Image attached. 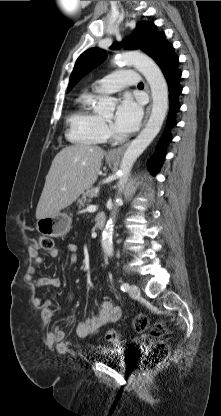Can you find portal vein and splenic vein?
Listing matches in <instances>:
<instances>
[{
  "label": "portal vein and splenic vein",
  "mask_w": 221,
  "mask_h": 416,
  "mask_svg": "<svg viewBox=\"0 0 221 416\" xmlns=\"http://www.w3.org/2000/svg\"><path fill=\"white\" fill-rule=\"evenodd\" d=\"M96 208H97V207H96L95 205H89V206L87 207V209H86V210H87L88 212H92V211H95V210H96Z\"/></svg>",
  "instance_id": "portal-vein-and-splenic-vein-1"
}]
</instances>
